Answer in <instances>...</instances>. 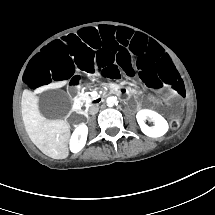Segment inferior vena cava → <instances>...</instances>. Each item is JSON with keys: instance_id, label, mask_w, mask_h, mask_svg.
<instances>
[{"instance_id": "602c4592", "label": "inferior vena cava", "mask_w": 215, "mask_h": 215, "mask_svg": "<svg viewBox=\"0 0 215 215\" xmlns=\"http://www.w3.org/2000/svg\"><path fill=\"white\" fill-rule=\"evenodd\" d=\"M98 110H99V108H98L97 105H92V106H90V108H89V114H90V115H95V114L98 113Z\"/></svg>"}]
</instances>
